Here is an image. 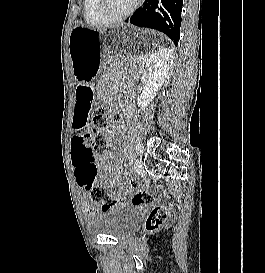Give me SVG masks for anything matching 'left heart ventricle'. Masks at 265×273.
<instances>
[{
	"label": "left heart ventricle",
	"mask_w": 265,
	"mask_h": 273,
	"mask_svg": "<svg viewBox=\"0 0 265 273\" xmlns=\"http://www.w3.org/2000/svg\"><path fill=\"white\" fill-rule=\"evenodd\" d=\"M135 0H108L107 9L111 14H121L131 8Z\"/></svg>",
	"instance_id": "b2bd125f"
}]
</instances>
